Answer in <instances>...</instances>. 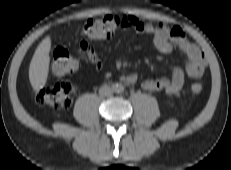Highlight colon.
<instances>
[{
    "label": "colon",
    "mask_w": 231,
    "mask_h": 170,
    "mask_svg": "<svg viewBox=\"0 0 231 170\" xmlns=\"http://www.w3.org/2000/svg\"><path fill=\"white\" fill-rule=\"evenodd\" d=\"M122 24V17L104 15L91 18L81 28V35L87 39L110 38ZM79 66L78 60L71 53L59 47L54 51L51 65L52 72L56 76H64L73 73ZM203 85L194 82L190 85L189 92L193 95L201 93ZM74 87L69 83H58L34 92V100L40 105L50 106L55 109H66L72 104Z\"/></svg>",
    "instance_id": "1"
}]
</instances>
